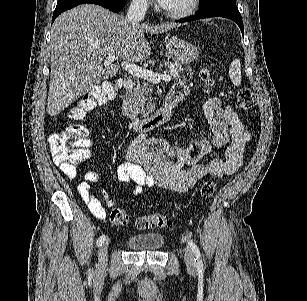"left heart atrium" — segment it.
<instances>
[{"label":"left heart atrium","instance_id":"1","mask_svg":"<svg viewBox=\"0 0 307 301\" xmlns=\"http://www.w3.org/2000/svg\"><path fill=\"white\" fill-rule=\"evenodd\" d=\"M170 0H159L160 4H169ZM126 62H139V61H126Z\"/></svg>","mask_w":307,"mask_h":301}]
</instances>
